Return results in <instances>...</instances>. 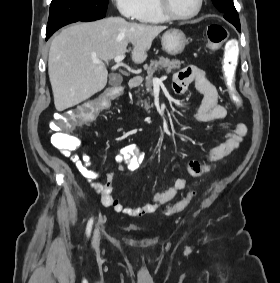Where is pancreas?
<instances>
[{
  "instance_id": "pancreas-1",
  "label": "pancreas",
  "mask_w": 280,
  "mask_h": 283,
  "mask_svg": "<svg viewBox=\"0 0 280 283\" xmlns=\"http://www.w3.org/2000/svg\"><path fill=\"white\" fill-rule=\"evenodd\" d=\"M182 63L183 61L175 59L170 60L165 57H159L158 60H151L149 66L147 67V77L144 84L146 93L152 92L153 74L155 73V71L164 69L167 73H170L175 69H179ZM143 107L148 111L152 107V105L150 106L147 101H144Z\"/></svg>"
}]
</instances>
